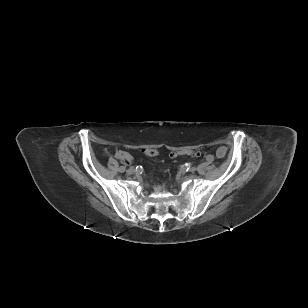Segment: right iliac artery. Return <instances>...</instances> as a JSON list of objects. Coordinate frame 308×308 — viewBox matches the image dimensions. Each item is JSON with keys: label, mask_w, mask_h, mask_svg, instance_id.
<instances>
[{"label": "right iliac artery", "mask_w": 308, "mask_h": 308, "mask_svg": "<svg viewBox=\"0 0 308 308\" xmlns=\"http://www.w3.org/2000/svg\"><path fill=\"white\" fill-rule=\"evenodd\" d=\"M119 171H120V172H124V171H125V167H124V166H120V167H119Z\"/></svg>", "instance_id": "obj_1"}]
</instances>
